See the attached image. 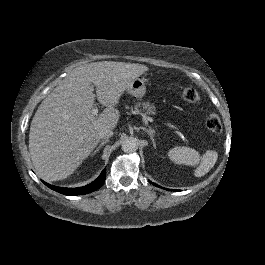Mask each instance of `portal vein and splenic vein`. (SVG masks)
<instances>
[{"label":"portal vein and splenic vein","instance_id":"obj_1","mask_svg":"<svg viewBox=\"0 0 265 265\" xmlns=\"http://www.w3.org/2000/svg\"><path fill=\"white\" fill-rule=\"evenodd\" d=\"M91 113L93 116L97 115V109L96 108H93L91 110ZM147 121L149 122H155L156 124H161V125H164V126H168V127H172L174 128L175 130H178L180 133H183V129L182 128H178V126H175L174 124H170V123H164L163 121H159V120H156V119H152L150 116H145L144 117Z\"/></svg>","mask_w":265,"mask_h":265}]
</instances>
